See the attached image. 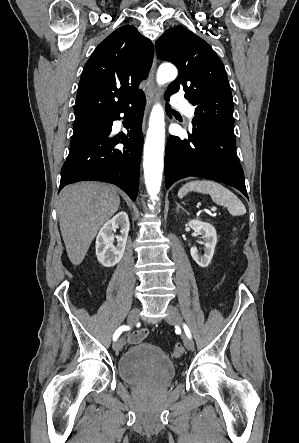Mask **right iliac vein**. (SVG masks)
Masks as SVG:
<instances>
[{"label":"right iliac vein","instance_id":"obj_1","mask_svg":"<svg viewBox=\"0 0 299 443\" xmlns=\"http://www.w3.org/2000/svg\"><path fill=\"white\" fill-rule=\"evenodd\" d=\"M138 319H139V309L138 308L132 309L128 315L127 319L128 324L132 326L137 323ZM123 345H124V339L123 338L118 339L113 345L114 351L116 352L121 351Z\"/></svg>","mask_w":299,"mask_h":443}]
</instances>
